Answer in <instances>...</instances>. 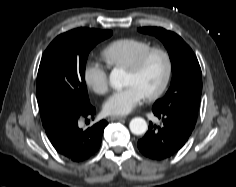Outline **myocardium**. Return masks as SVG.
Instances as JSON below:
<instances>
[{"label":"myocardium","instance_id":"obj_1","mask_svg":"<svg viewBox=\"0 0 236 187\" xmlns=\"http://www.w3.org/2000/svg\"><path fill=\"white\" fill-rule=\"evenodd\" d=\"M153 55H160L165 61V74L160 86L153 92L144 95L146 100L152 101L161 97L167 90L173 75V61L168 51L162 48H150L141 55H139L133 63L127 68V71L138 74Z\"/></svg>","mask_w":236,"mask_h":187}]
</instances>
